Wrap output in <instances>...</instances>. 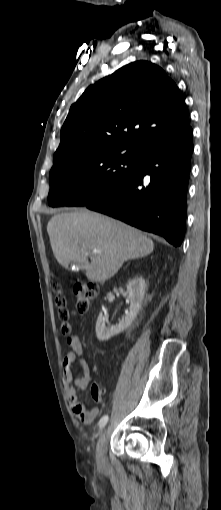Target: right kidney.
Here are the masks:
<instances>
[{
  "label": "right kidney",
  "instance_id": "obj_1",
  "mask_svg": "<svg viewBox=\"0 0 221 510\" xmlns=\"http://www.w3.org/2000/svg\"><path fill=\"white\" fill-rule=\"evenodd\" d=\"M130 308L128 314L122 318L118 325H106L102 313L99 314L95 326L96 336L100 341H106L111 337L127 329L136 318L146 292L145 281L142 277L131 280L127 285Z\"/></svg>",
  "mask_w": 221,
  "mask_h": 510
}]
</instances>
